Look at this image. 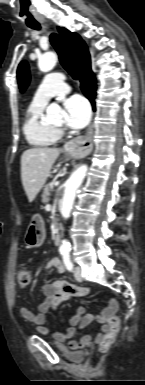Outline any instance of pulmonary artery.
Here are the masks:
<instances>
[{"label": "pulmonary artery", "mask_w": 145, "mask_h": 385, "mask_svg": "<svg viewBox=\"0 0 145 385\" xmlns=\"http://www.w3.org/2000/svg\"><path fill=\"white\" fill-rule=\"evenodd\" d=\"M70 90L64 82V76L59 72H52L44 78L43 82L34 94L33 102L47 104L54 97L62 95Z\"/></svg>", "instance_id": "1"}]
</instances>
